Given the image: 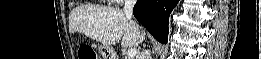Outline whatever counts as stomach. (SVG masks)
Here are the masks:
<instances>
[{"instance_id": "stomach-1", "label": "stomach", "mask_w": 261, "mask_h": 59, "mask_svg": "<svg viewBox=\"0 0 261 59\" xmlns=\"http://www.w3.org/2000/svg\"><path fill=\"white\" fill-rule=\"evenodd\" d=\"M98 51L102 59H115V57L112 55L110 51V47L108 46H104V45L100 46Z\"/></svg>"}]
</instances>
